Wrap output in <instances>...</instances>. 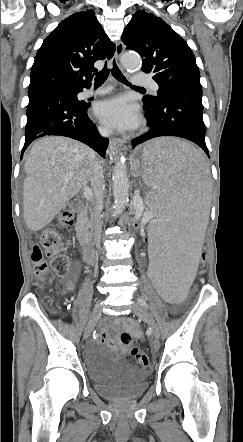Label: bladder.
Masks as SVG:
<instances>
[{"label":"bladder","mask_w":243,"mask_h":442,"mask_svg":"<svg viewBox=\"0 0 243 442\" xmlns=\"http://www.w3.org/2000/svg\"><path fill=\"white\" fill-rule=\"evenodd\" d=\"M86 369L94 390L112 401L134 399L147 388L148 372L145 369L105 353L91 354Z\"/></svg>","instance_id":"obj_1"}]
</instances>
